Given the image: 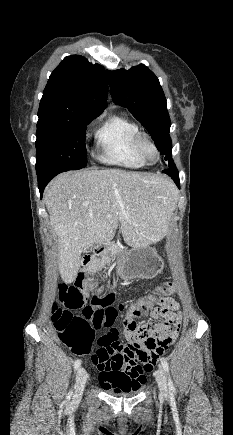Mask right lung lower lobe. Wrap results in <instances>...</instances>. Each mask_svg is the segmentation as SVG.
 <instances>
[{"label":"right lung lower lobe","instance_id":"right-lung-lower-lobe-1","mask_svg":"<svg viewBox=\"0 0 233 435\" xmlns=\"http://www.w3.org/2000/svg\"><path fill=\"white\" fill-rule=\"evenodd\" d=\"M65 169L63 168H55L50 171L37 173L38 176V188L40 191V195L42 197L43 191L46 187V185L49 183V181L54 178L56 175H58L61 172H64Z\"/></svg>","mask_w":233,"mask_h":435}]
</instances>
